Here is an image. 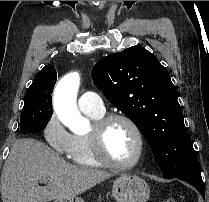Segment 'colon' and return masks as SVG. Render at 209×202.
<instances>
[{"label":"colon","instance_id":"5ec220e1","mask_svg":"<svg viewBox=\"0 0 209 202\" xmlns=\"http://www.w3.org/2000/svg\"><path fill=\"white\" fill-rule=\"evenodd\" d=\"M162 202H178V201L174 198H166Z\"/></svg>","mask_w":209,"mask_h":202}]
</instances>
